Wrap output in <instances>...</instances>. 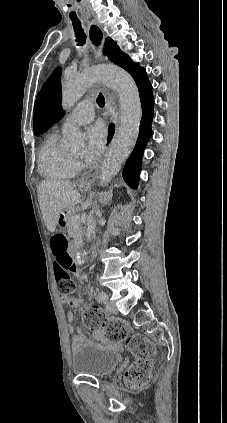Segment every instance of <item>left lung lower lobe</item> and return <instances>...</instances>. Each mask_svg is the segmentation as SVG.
Wrapping results in <instances>:
<instances>
[{
	"label": "left lung lower lobe",
	"mask_w": 227,
	"mask_h": 423,
	"mask_svg": "<svg viewBox=\"0 0 227 423\" xmlns=\"http://www.w3.org/2000/svg\"><path fill=\"white\" fill-rule=\"evenodd\" d=\"M136 84L139 90L140 101L142 105V119L135 148L127 160L122 174L125 182L134 189L137 188L139 181L143 150L152 134L151 123L154 115L152 85L149 82L147 74H145L138 82H136Z\"/></svg>",
	"instance_id": "left-lung-lower-lobe-1"
}]
</instances>
